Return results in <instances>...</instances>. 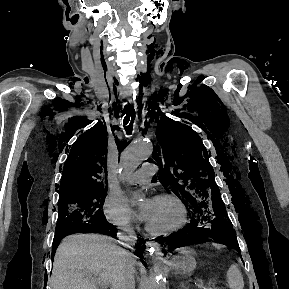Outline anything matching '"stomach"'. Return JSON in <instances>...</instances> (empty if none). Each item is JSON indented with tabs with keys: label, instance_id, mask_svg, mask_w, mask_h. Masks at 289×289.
<instances>
[{
	"label": "stomach",
	"instance_id": "0dacf381",
	"mask_svg": "<svg viewBox=\"0 0 289 289\" xmlns=\"http://www.w3.org/2000/svg\"><path fill=\"white\" fill-rule=\"evenodd\" d=\"M171 263L176 274L187 275L192 273L196 268L194 251L190 248H182L179 255L172 258Z\"/></svg>",
	"mask_w": 289,
	"mask_h": 289
}]
</instances>
